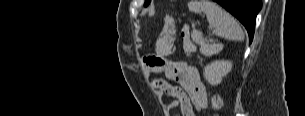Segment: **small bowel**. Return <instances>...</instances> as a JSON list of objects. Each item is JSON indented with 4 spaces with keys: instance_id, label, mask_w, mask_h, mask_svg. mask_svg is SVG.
<instances>
[{
    "instance_id": "small-bowel-1",
    "label": "small bowel",
    "mask_w": 305,
    "mask_h": 116,
    "mask_svg": "<svg viewBox=\"0 0 305 116\" xmlns=\"http://www.w3.org/2000/svg\"><path fill=\"white\" fill-rule=\"evenodd\" d=\"M172 49L173 41L163 37L157 42L155 53L145 57L148 70L163 74L167 79L156 78L152 81V86L157 92L174 98L167 104L168 110L179 106L182 116H195V110L203 112L207 107L205 87L195 67L167 58Z\"/></svg>"
}]
</instances>
